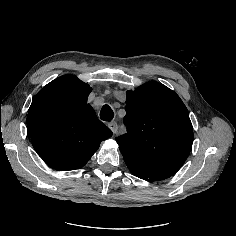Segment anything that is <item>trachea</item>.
I'll return each mask as SVG.
<instances>
[{
    "instance_id": "trachea-1",
    "label": "trachea",
    "mask_w": 236,
    "mask_h": 236,
    "mask_svg": "<svg viewBox=\"0 0 236 236\" xmlns=\"http://www.w3.org/2000/svg\"><path fill=\"white\" fill-rule=\"evenodd\" d=\"M114 117V113L109 105H104L100 111V118L104 121H111Z\"/></svg>"
}]
</instances>
